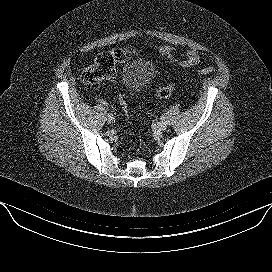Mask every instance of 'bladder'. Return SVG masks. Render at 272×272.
<instances>
[{
    "label": "bladder",
    "mask_w": 272,
    "mask_h": 272,
    "mask_svg": "<svg viewBox=\"0 0 272 272\" xmlns=\"http://www.w3.org/2000/svg\"><path fill=\"white\" fill-rule=\"evenodd\" d=\"M154 76L153 65L145 59H134L126 63L121 71V81L125 89L138 93L146 88Z\"/></svg>",
    "instance_id": "1"
}]
</instances>
